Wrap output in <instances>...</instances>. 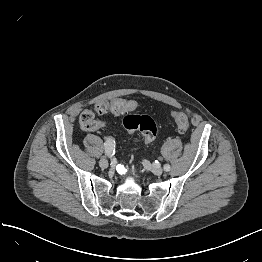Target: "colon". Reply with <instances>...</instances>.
<instances>
[{
    "label": "colon",
    "instance_id": "obj_1",
    "mask_svg": "<svg viewBox=\"0 0 262 262\" xmlns=\"http://www.w3.org/2000/svg\"><path fill=\"white\" fill-rule=\"evenodd\" d=\"M137 108L135 101L116 99L109 103H99L94 110H85L80 115V125L84 130H96L103 125V120L96 114L112 113L115 115L126 114L122 120L123 127L130 133L139 131L143 134L145 144L151 145L156 138L157 128L153 119L147 115L134 113ZM172 117L176 123L178 132L184 134L189 129L187 115L182 111L174 110Z\"/></svg>",
    "mask_w": 262,
    "mask_h": 262
}]
</instances>
